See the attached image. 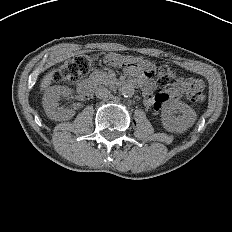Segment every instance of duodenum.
<instances>
[{
    "label": "duodenum",
    "instance_id": "1",
    "mask_svg": "<svg viewBox=\"0 0 232 232\" xmlns=\"http://www.w3.org/2000/svg\"><path fill=\"white\" fill-rule=\"evenodd\" d=\"M77 88L85 96H91L93 93V85L88 80H83L78 83Z\"/></svg>",
    "mask_w": 232,
    "mask_h": 232
}]
</instances>
